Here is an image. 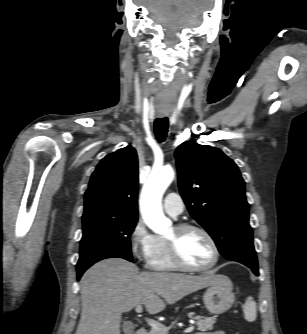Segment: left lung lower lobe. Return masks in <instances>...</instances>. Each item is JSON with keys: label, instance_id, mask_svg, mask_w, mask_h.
I'll return each mask as SVG.
<instances>
[{"label": "left lung lower lobe", "instance_id": "0a47b994", "mask_svg": "<svg viewBox=\"0 0 307 334\" xmlns=\"http://www.w3.org/2000/svg\"><path fill=\"white\" fill-rule=\"evenodd\" d=\"M237 262H239V261H237ZM240 263H242V262H240ZM242 264L250 267L253 270V272L256 275H258V264H257V262L256 263H253V262H243Z\"/></svg>", "mask_w": 307, "mask_h": 334}]
</instances>
